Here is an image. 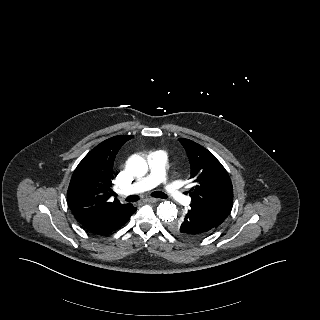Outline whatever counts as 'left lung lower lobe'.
I'll return each instance as SVG.
<instances>
[{"label":"left lung lower lobe","instance_id":"left-lung-lower-lobe-1","mask_svg":"<svg viewBox=\"0 0 320 320\" xmlns=\"http://www.w3.org/2000/svg\"><path fill=\"white\" fill-rule=\"evenodd\" d=\"M180 223V231L186 236L195 239L213 232L218 227L206 217L195 213L191 209L187 211L184 217L180 220ZM169 228L172 231L171 224L169 225Z\"/></svg>","mask_w":320,"mask_h":320}]
</instances>
